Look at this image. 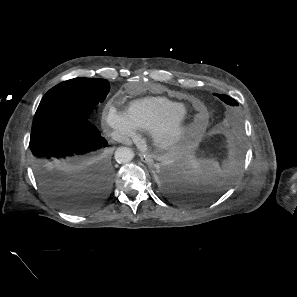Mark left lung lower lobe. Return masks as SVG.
Instances as JSON below:
<instances>
[{
    "label": "left lung lower lobe",
    "mask_w": 297,
    "mask_h": 297,
    "mask_svg": "<svg viewBox=\"0 0 297 297\" xmlns=\"http://www.w3.org/2000/svg\"><path fill=\"white\" fill-rule=\"evenodd\" d=\"M164 191L175 201L194 203L219 197L228 187L213 176L197 178L187 170L183 161L171 162L159 171Z\"/></svg>",
    "instance_id": "0a47b994"
}]
</instances>
